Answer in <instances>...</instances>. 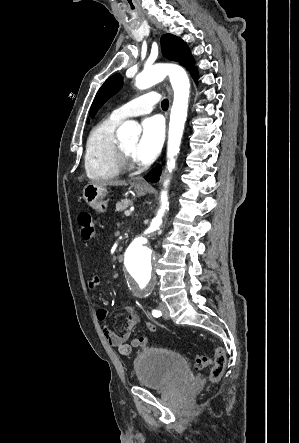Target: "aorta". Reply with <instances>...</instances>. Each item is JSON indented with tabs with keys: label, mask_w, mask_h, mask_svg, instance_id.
I'll return each mask as SVG.
<instances>
[{
	"label": "aorta",
	"mask_w": 299,
	"mask_h": 443,
	"mask_svg": "<svg viewBox=\"0 0 299 443\" xmlns=\"http://www.w3.org/2000/svg\"><path fill=\"white\" fill-rule=\"evenodd\" d=\"M169 76L174 91V100L170 113L168 146H167V169L172 172L175 169L176 157L180 151L181 139L187 118L190 83L187 73L183 68L172 64H158L144 69L136 76V87L147 89ZM141 132L140 126L133 121L124 122L117 130L119 139L136 140ZM168 180L164 182L165 190L161 192V206L156 217L150 225L128 246L124 266L131 276L133 292L137 296L144 297L149 294L153 285L154 255L149 240L161 227L162 217L168 208V195L166 187Z\"/></svg>",
	"instance_id": "1"
}]
</instances>
